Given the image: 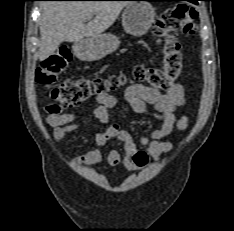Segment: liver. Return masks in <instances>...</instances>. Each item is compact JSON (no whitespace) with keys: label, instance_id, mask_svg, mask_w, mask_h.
Returning <instances> with one entry per match:
<instances>
[{"label":"liver","instance_id":"1","mask_svg":"<svg viewBox=\"0 0 234 231\" xmlns=\"http://www.w3.org/2000/svg\"><path fill=\"white\" fill-rule=\"evenodd\" d=\"M127 1H46L42 4L39 59L54 54L63 42H77L107 30ZM96 17L85 24V21Z\"/></svg>","mask_w":234,"mask_h":231}]
</instances>
